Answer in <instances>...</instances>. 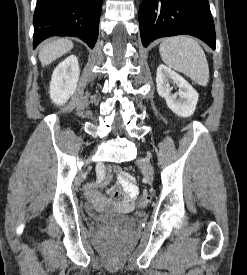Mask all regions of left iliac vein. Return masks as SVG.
<instances>
[{
  "label": "left iliac vein",
  "mask_w": 247,
  "mask_h": 275,
  "mask_svg": "<svg viewBox=\"0 0 247 275\" xmlns=\"http://www.w3.org/2000/svg\"><path fill=\"white\" fill-rule=\"evenodd\" d=\"M137 164L147 176H151L153 174V168L148 159H140Z\"/></svg>",
  "instance_id": "1"
}]
</instances>
